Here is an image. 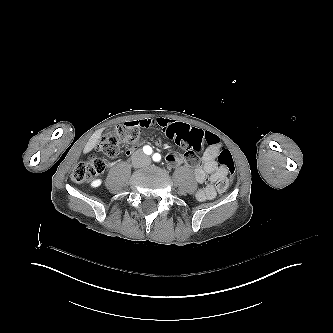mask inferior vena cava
<instances>
[{"label": "inferior vena cava", "mask_w": 333, "mask_h": 333, "mask_svg": "<svg viewBox=\"0 0 333 333\" xmlns=\"http://www.w3.org/2000/svg\"><path fill=\"white\" fill-rule=\"evenodd\" d=\"M132 158L133 160L141 158L148 160L147 156L143 153L142 150H137L136 152H134Z\"/></svg>", "instance_id": "inferior-vena-cava-1"}]
</instances>
